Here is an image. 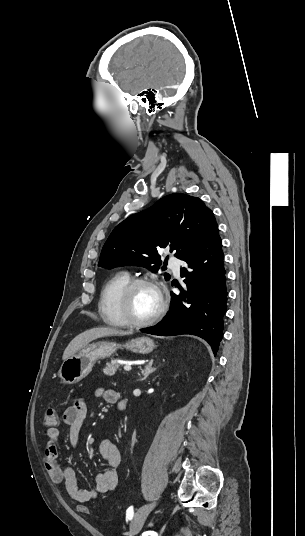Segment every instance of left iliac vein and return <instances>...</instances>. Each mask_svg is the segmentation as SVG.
I'll return each instance as SVG.
<instances>
[{"label":"left iliac vein","instance_id":"4c4485c4","mask_svg":"<svg viewBox=\"0 0 305 536\" xmlns=\"http://www.w3.org/2000/svg\"><path fill=\"white\" fill-rule=\"evenodd\" d=\"M153 507V505L147 504L137 510L130 525L131 536H136L141 531L142 526Z\"/></svg>","mask_w":305,"mask_h":536}]
</instances>
